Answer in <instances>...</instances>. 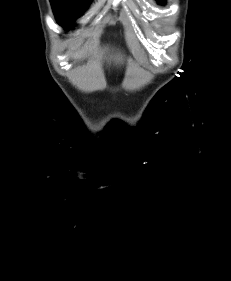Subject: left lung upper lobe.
<instances>
[{"label":"left lung upper lobe","mask_w":231,"mask_h":281,"mask_svg":"<svg viewBox=\"0 0 231 281\" xmlns=\"http://www.w3.org/2000/svg\"><path fill=\"white\" fill-rule=\"evenodd\" d=\"M159 3H160V4H164V2H163V1H160Z\"/></svg>","instance_id":"1"}]
</instances>
